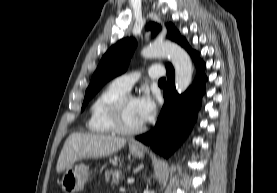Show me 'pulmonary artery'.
I'll return each instance as SVG.
<instances>
[{"label": "pulmonary artery", "instance_id": "pulmonary-artery-1", "mask_svg": "<svg viewBox=\"0 0 277 193\" xmlns=\"http://www.w3.org/2000/svg\"><path fill=\"white\" fill-rule=\"evenodd\" d=\"M147 75L152 79H159L164 75V69L159 65H153L148 68ZM139 77L140 74L137 72L123 74L115 78L113 83L121 90L128 92Z\"/></svg>", "mask_w": 277, "mask_h": 193}]
</instances>
